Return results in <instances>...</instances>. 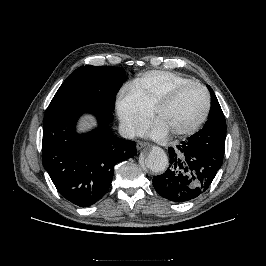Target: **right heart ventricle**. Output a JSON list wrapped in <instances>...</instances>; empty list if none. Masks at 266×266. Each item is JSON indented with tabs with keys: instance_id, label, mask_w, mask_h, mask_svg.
Returning <instances> with one entry per match:
<instances>
[{
	"instance_id": "1",
	"label": "right heart ventricle",
	"mask_w": 266,
	"mask_h": 266,
	"mask_svg": "<svg viewBox=\"0 0 266 266\" xmlns=\"http://www.w3.org/2000/svg\"><path fill=\"white\" fill-rule=\"evenodd\" d=\"M190 78L169 71H149L134 79L128 88L132 90L143 104L153 111L157 102L177 85L192 82Z\"/></svg>"
}]
</instances>
